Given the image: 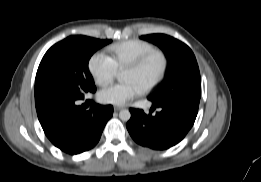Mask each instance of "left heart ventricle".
Wrapping results in <instances>:
<instances>
[{
	"instance_id": "b2bd125f",
	"label": "left heart ventricle",
	"mask_w": 261,
	"mask_h": 182,
	"mask_svg": "<svg viewBox=\"0 0 261 182\" xmlns=\"http://www.w3.org/2000/svg\"><path fill=\"white\" fill-rule=\"evenodd\" d=\"M161 68V60L158 56L150 58L141 68L136 70H124L122 72V80L133 81L144 88L152 82L159 74Z\"/></svg>"
}]
</instances>
